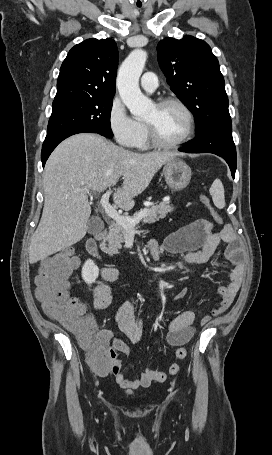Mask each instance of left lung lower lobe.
I'll return each mask as SVG.
<instances>
[{
  "label": "left lung lower lobe",
  "instance_id": "left-lung-lower-lobe-1",
  "mask_svg": "<svg viewBox=\"0 0 272 455\" xmlns=\"http://www.w3.org/2000/svg\"><path fill=\"white\" fill-rule=\"evenodd\" d=\"M179 151L187 153L208 152L222 157L229 165L232 177H235L237 159L232 138V124L215 126L189 141Z\"/></svg>",
  "mask_w": 272,
  "mask_h": 455
}]
</instances>
